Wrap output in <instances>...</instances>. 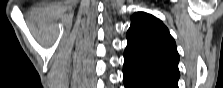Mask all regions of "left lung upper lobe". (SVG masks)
<instances>
[{
    "mask_svg": "<svg viewBox=\"0 0 223 88\" xmlns=\"http://www.w3.org/2000/svg\"><path fill=\"white\" fill-rule=\"evenodd\" d=\"M124 65L178 81L179 54L166 26L144 12L132 16Z\"/></svg>",
    "mask_w": 223,
    "mask_h": 88,
    "instance_id": "1",
    "label": "left lung upper lobe"
}]
</instances>
